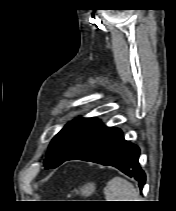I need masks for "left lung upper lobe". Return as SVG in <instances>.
I'll list each match as a JSON object with an SVG mask.
<instances>
[{
	"instance_id": "5c2ea615",
	"label": "left lung upper lobe",
	"mask_w": 176,
	"mask_h": 211,
	"mask_svg": "<svg viewBox=\"0 0 176 211\" xmlns=\"http://www.w3.org/2000/svg\"><path fill=\"white\" fill-rule=\"evenodd\" d=\"M105 126L95 118H78L64 126L53 138L44 161L45 168H55L78 152Z\"/></svg>"
}]
</instances>
